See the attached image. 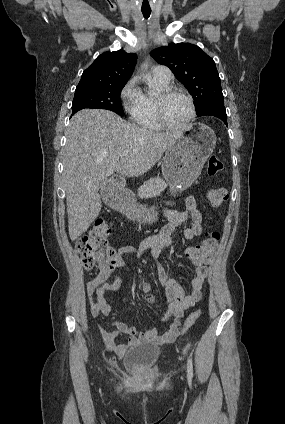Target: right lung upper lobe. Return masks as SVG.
I'll return each mask as SVG.
<instances>
[{"mask_svg":"<svg viewBox=\"0 0 285 424\" xmlns=\"http://www.w3.org/2000/svg\"><path fill=\"white\" fill-rule=\"evenodd\" d=\"M137 55L124 50L108 51L83 72L78 86L127 83L136 65Z\"/></svg>","mask_w":285,"mask_h":424,"instance_id":"1","label":"right lung upper lobe"}]
</instances>
